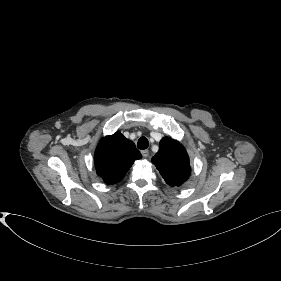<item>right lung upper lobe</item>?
<instances>
[{"label": "right lung upper lobe", "instance_id": "obj_1", "mask_svg": "<svg viewBox=\"0 0 281 281\" xmlns=\"http://www.w3.org/2000/svg\"><path fill=\"white\" fill-rule=\"evenodd\" d=\"M142 157L135 144L120 132L102 138L95 151L97 174L107 183L123 179L135 160Z\"/></svg>", "mask_w": 281, "mask_h": 281}]
</instances>
